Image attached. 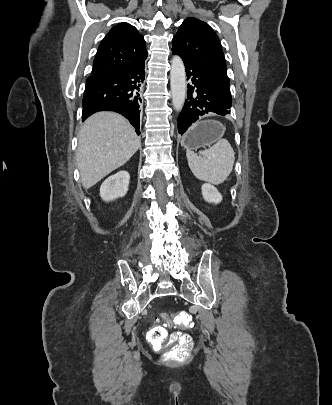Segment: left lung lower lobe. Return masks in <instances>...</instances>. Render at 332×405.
I'll return each mask as SVG.
<instances>
[{
  "mask_svg": "<svg viewBox=\"0 0 332 405\" xmlns=\"http://www.w3.org/2000/svg\"><path fill=\"white\" fill-rule=\"evenodd\" d=\"M172 52L177 54L173 49ZM182 60L190 84L187 90L188 100L178 117V132L181 135L201 116L210 112L224 116L230 113L231 108L226 105L219 87L204 70Z\"/></svg>",
  "mask_w": 332,
  "mask_h": 405,
  "instance_id": "1",
  "label": "left lung lower lobe"
}]
</instances>
